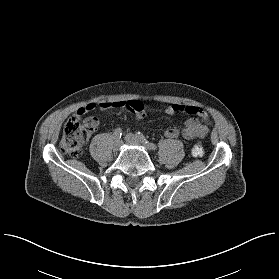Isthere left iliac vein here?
Returning <instances> with one entry per match:
<instances>
[{"instance_id":"left-iliac-vein-1","label":"left iliac vein","mask_w":279,"mask_h":279,"mask_svg":"<svg viewBox=\"0 0 279 279\" xmlns=\"http://www.w3.org/2000/svg\"><path fill=\"white\" fill-rule=\"evenodd\" d=\"M125 140H126V142H128L130 144H135L138 146L142 145L141 141L132 133H127L125 135Z\"/></svg>"}]
</instances>
